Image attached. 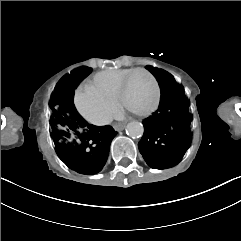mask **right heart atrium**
<instances>
[{
	"instance_id": "obj_1",
	"label": "right heart atrium",
	"mask_w": 241,
	"mask_h": 241,
	"mask_svg": "<svg viewBox=\"0 0 241 241\" xmlns=\"http://www.w3.org/2000/svg\"><path fill=\"white\" fill-rule=\"evenodd\" d=\"M110 94L102 92L96 85H81L74 92V105L89 122L95 125L109 123L116 110Z\"/></svg>"
}]
</instances>
